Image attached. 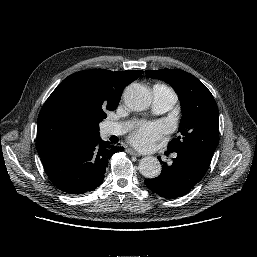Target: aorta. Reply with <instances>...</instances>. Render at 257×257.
Instances as JSON below:
<instances>
[{
    "label": "aorta",
    "mask_w": 257,
    "mask_h": 257,
    "mask_svg": "<svg viewBox=\"0 0 257 257\" xmlns=\"http://www.w3.org/2000/svg\"><path fill=\"white\" fill-rule=\"evenodd\" d=\"M123 99L128 108L142 111L150 106L151 93L147 87L134 83L126 87ZM139 171L146 178H155L161 173V164L156 157L147 156L140 160Z\"/></svg>",
    "instance_id": "obj_1"
}]
</instances>
